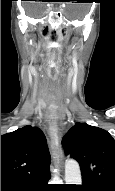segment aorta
Here are the masks:
<instances>
[{"label":"aorta","mask_w":115,"mask_h":191,"mask_svg":"<svg viewBox=\"0 0 115 191\" xmlns=\"http://www.w3.org/2000/svg\"><path fill=\"white\" fill-rule=\"evenodd\" d=\"M65 182L66 184L81 185V171L77 161L70 159L65 163Z\"/></svg>","instance_id":"1"}]
</instances>
